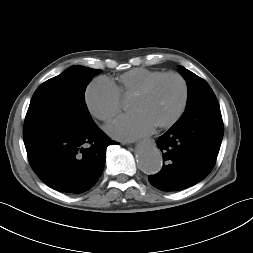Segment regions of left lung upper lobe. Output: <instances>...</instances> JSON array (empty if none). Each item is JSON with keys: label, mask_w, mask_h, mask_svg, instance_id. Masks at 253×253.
<instances>
[{"label": "left lung upper lobe", "mask_w": 253, "mask_h": 253, "mask_svg": "<svg viewBox=\"0 0 253 253\" xmlns=\"http://www.w3.org/2000/svg\"><path fill=\"white\" fill-rule=\"evenodd\" d=\"M180 72L188 84V101L185 112L175 124L201 120L222 121L217 98L208 83L184 67H181Z\"/></svg>", "instance_id": "5c2ea615"}]
</instances>
